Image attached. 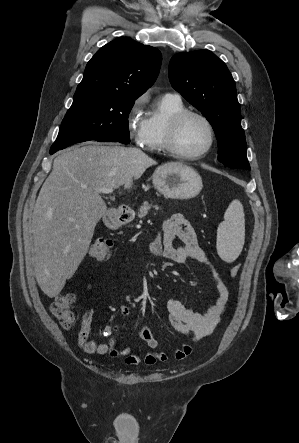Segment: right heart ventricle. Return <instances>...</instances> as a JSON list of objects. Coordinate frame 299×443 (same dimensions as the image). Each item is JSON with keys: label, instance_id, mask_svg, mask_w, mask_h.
Returning a JSON list of instances; mask_svg holds the SVG:
<instances>
[{"label": "right heart ventricle", "instance_id": "1", "mask_svg": "<svg viewBox=\"0 0 299 443\" xmlns=\"http://www.w3.org/2000/svg\"><path fill=\"white\" fill-rule=\"evenodd\" d=\"M185 110L181 99L163 96L156 108L146 118V129L141 146L150 152H165V136L170 118Z\"/></svg>", "mask_w": 299, "mask_h": 443}]
</instances>
